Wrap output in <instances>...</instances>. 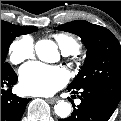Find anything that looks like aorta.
I'll use <instances>...</instances> for the list:
<instances>
[{
  "label": "aorta",
  "mask_w": 121,
  "mask_h": 121,
  "mask_svg": "<svg viewBox=\"0 0 121 121\" xmlns=\"http://www.w3.org/2000/svg\"><path fill=\"white\" fill-rule=\"evenodd\" d=\"M35 50L38 57L46 62L53 61L54 57L58 55L57 46L50 40H40L35 45ZM55 113L61 117L66 118L71 113V105L65 101H59L55 106Z\"/></svg>",
  "instance_id": "obj_1"
}]
</instances>
